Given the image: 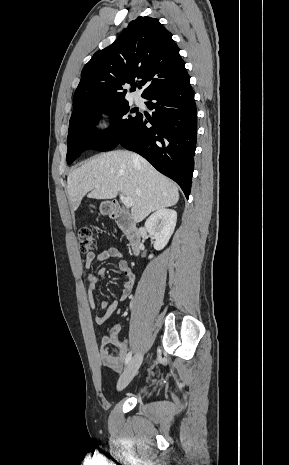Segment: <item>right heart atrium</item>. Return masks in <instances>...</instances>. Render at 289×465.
I'll list each match as a JSON object with an SVG mask.
<instances>
[{"label":"right heart atrium","instance_id":"right-heart-atrium-1","mask_svg":"<svg viewBox=\"0 0 289 465\" xmlns=\"http://www.w3.org/2000/svg\"><path fill=\"white\" fill-rule=\"evenodd\" d=\"M101 129L104 132H109L115 124V115L112 111L104 109L101 112Z\"/></svg>","mask_w":289,"mask_h":465}]
</instances>
